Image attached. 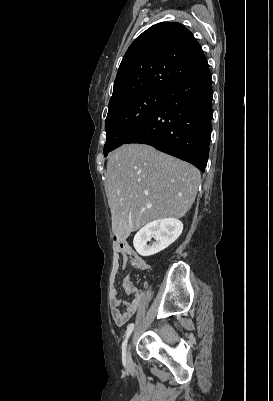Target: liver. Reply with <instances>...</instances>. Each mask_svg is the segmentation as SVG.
<instances>
[{"instance_id":"6515ba94","label":"liver","mask_w":273,"mask_h":401,"mask_svg":"<svg viewBox=\"0 0 273 401\" xmlns=\"http://www.w3.org/2000/svg\"><path fill=\"white\" fill-rule=\"evenodd\" d=\"M198 168L149 144H122L107 162L106 196L112 233L125 241L157 219H181L195 201Z\"/></svg>"}]
</instances>
